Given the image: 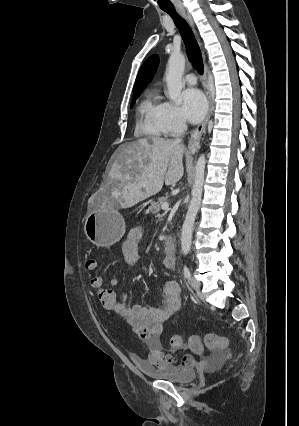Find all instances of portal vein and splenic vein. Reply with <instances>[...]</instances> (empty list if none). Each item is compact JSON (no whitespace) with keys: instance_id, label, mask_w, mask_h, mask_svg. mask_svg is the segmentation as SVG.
Masks as SVG:
<instances>
[{"instance_id":"1","label":"portal vein and splenic vein","mask_w":299,"mask_h":426,"mask_svg":"<svg viewBox=\"0 0 299 426\" xmlns=\"http://www.w3.org/2000/svg\"><path fill=\"white\" fill-rule=\"evenodd\" d=\"M168 208H169V204L167 202L162 203L161 205L162 210H168Z\"/></svg>"}]
</instances>
